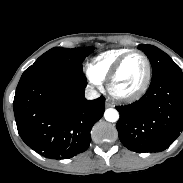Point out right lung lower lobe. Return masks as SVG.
<instances>
[{
  "label": "right lung lower lobe",
  "mask_w": 183,
  "mask_h": 183,
  "mask_svg": "<svg viewBox=\"0 0 183 183\" xmlns=\"http://www.w3.org/2000/svg\"><path fill=\"white\" fill-rule=\"evenodd\" d=\"M82 71L21 77L13 102L22 140L38 154L69 159L87 150L90 131L105 111V98L84 97Z\"/></svg>",
  "instance_id": "1"
}]
</instances>
